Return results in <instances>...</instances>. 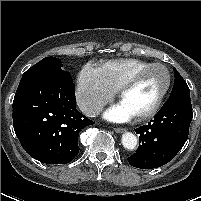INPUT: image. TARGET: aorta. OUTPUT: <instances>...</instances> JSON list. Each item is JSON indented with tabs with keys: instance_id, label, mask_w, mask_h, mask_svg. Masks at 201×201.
<instances>
[{
	"instance_id": "762f6f07",
	"label": "aorta",
	"mask_w": 201,
	"mask_h": 201,
	"mask_svg": "<svg viewBox=\"0 0 201 201\" xmlns=\"http://www.w3.org/2000/svg\"><path fill=\"white\" fill-rule=\"evenodd\" d=\"M122 145L125 149L133 150L137 146V138L136 136L131 132H125L122 135Z\"/></svg>"
}]
</instances>
